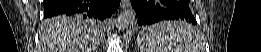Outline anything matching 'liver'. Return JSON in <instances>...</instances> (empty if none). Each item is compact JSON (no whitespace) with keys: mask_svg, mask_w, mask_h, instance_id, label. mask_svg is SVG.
Masks as SVG:
<instances>
[{"mask_svg":"<svg viewBox=\"0 0 261 52\" xmlns=\"http://www.w3.org/2000/svg\"><path fill=\"white\" fill-rule=\"evenodd\" d=\"M60 16L43 22L39 52H93L98 45L96 29L84 21H63Z\"/></svg>","mask_w":261,"mask_h":52,"instance_id":"liver-1","label":"liver"}]
</instances>
